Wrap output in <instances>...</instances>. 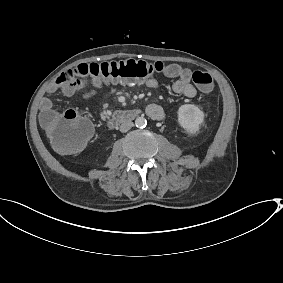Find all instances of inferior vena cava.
Returning <instances> with one entry per match:
<instances>
[{"instance_id":"inferior-vena-cava-1","label":"inferior vena cava","mask_w":283,"mask_h":283,"mask_svg":"<svg viewBox=\"0 0 283 283\" xmlns=\"http://www.w3.org/2000/svg\"><path fill=\"white\" fill-rule=\"evenodd\" d=\"M133 126H134V124H133L132 121L126 120V121H124V122L120 125V131H121V132H127V131L130 130Z\"/></svg>"}]
</instances>
